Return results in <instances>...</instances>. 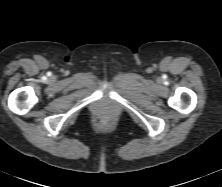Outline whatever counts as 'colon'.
Instances as JSON below:
<instances>
[{
  "instance_id": "5ec220e1",
  "label": "colon",
  "mask_w": 222,
  "mask_h": 187,
  "mask_svg": "<svg viewBox=\"0 0 222 187\" xmlns=\"http://www.w3.org/2000/svg\"><path fill=\"white\" fill-rule=\"evenodd\" d=\"M97 123L102 126H109L111 124V121L108 119H98Z\"/></svg>"
}]
</instances>
